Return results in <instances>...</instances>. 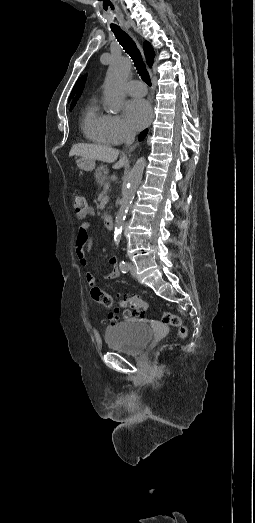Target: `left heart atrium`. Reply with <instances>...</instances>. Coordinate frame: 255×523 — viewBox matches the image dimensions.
<instances>
[{
    "label": "left heart atrium",
    "instance_id": "left-heart-atrium-1",
    "mask_svg": "<svg viewBox=\"0 0 255 523\" xmlns=\"http://www.w3.org/2000/svg\"><path fill=\"white\" fill-rule=\"evenodd\" d=\"M126 119L133 128H142L151 118L150 103L143 98L130 100L125 109Z\"/></svg>",
    "mask_w": 255,
    "mask_h": 523
}]
</instances>
